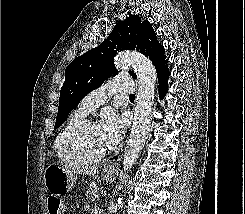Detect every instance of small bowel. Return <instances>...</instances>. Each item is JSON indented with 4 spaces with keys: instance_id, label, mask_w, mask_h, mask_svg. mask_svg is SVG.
I'll return each mask as SVG.
<instances>
[{
    "instance_id": "1",
    "label": "small bowel",
    "mask_w": 245,
    "mask_h": 214,
    "mask_svg": "<svg viewBox=\"0 0 245 214\" xmlns=\"http://www.w3.org/2000/svg\"><path fill=\"white\" fill-rule=\"evenodd\" d=\"M90 212V214H104L103 211L99 208H93Z\"/></svg>"
}]
</instances>
